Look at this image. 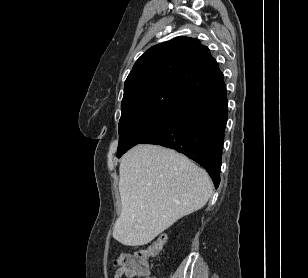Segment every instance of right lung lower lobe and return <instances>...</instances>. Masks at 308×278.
Segmentation results:
<instances>
[{
    "instance_id": "obj_1",
    "label": "right lung lower lobe",
    "mask_w": 308,
    "mask_h": 278,
    "mask_svg": "<svg viewBox=\"0 0 308 278\" xmlns=\"http://www.w3.org/2000/svg\"><path fill=\"white\" fill-rule=\"evenodd\" d=\"M228 100L226 85L180 108L170 122L141 143L175 149L203 166L220 183Z\"/></svg>"
}]
</instances>
